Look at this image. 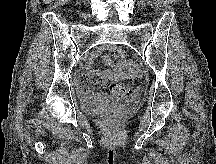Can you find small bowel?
<instances>
[{
  "instance_id": "obj_1",
  "label": "small bowel",
  "mask_w": 216,
  "mask_h": 164,
  "mask_svg": "<svg viewBox=\"0 0 216 164\" xmlns=\"http://www.w3.org/2000/svg\"><path fill=\"white\" fill-rule=\"evenodd\" d=\"M112 57L116 59V62L113 61ZM103 61L109 66V69L98 70L88 64L85 73L79 74L76 78L80 96L87 106L94 111H101L109 104V99L105 94L95 92V89L99 86V78L101 80L119 81L137 75L136 66L124 59L121 48H114V55H105Z\"/></svg>"
}]
</instances>
